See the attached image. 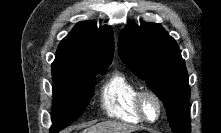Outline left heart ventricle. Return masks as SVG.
<instances>
[{
  "instance_id": "b2bd125f",
  "label": "left heart ventricle",
  "mask_w": 221,
  "mask_h": 133,
  "mask_svg": "<svg viewBox=\"0 0 221 133\" xmlns=\"http://www.w3.org/2000/svg\"><path fill=\"white\" fill-rule=\"evenodd\" d=\"M145 108H146V113H147L148 117H150L152 119L156 117L157 107L152 100L146 101Z\"/></svg>"
}]
</instances>
